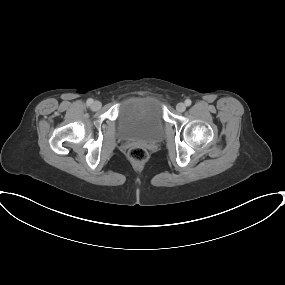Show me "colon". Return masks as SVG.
Returning <instances> with one entry per match:
<instances>
[{
	"instance_id": "colon-1",
	"label": "colon",
	"mask_w": 285,
	"mask_h": 285,
	"mask_svg": "<svg viewBox=\"0 0 285 285\" xmlns=\"http://www.w3.org/2000/svg\"><path fill=\"white\" fill-rule=\"evenodd\" d=\"M128 156L132 161L142 163L147 160L148 153L145 148L141 146H135L129 150Z\"/></svg>"
}]
</instances>
